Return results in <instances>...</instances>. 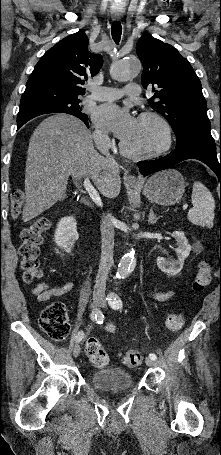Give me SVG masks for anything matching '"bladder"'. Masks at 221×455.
<instances>
[{
	"label": "bladder",
	"mask_w": 221,
	"mask_h": 455,
	"mask_svg": "<svg viewBox=\"0 0 221 455\" xmlns=\"http://www.w3.org/2000/svg\"><path fill=\"white\" fill-rule=\"evenodd\" d=\"M89 382L94 389L102 392L123 391L134 386L130 373L120 368L93 371L89 376Z\"/></svg>",
	"instance_id": "31cf9c89"
}]
</instances>
